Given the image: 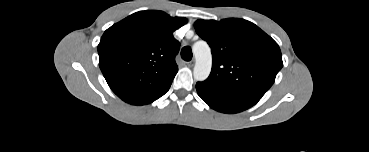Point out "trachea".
<instances>
[{
  "instance_id": "3493384b",
  "label": "trachea",
  "mask_w": 369,
  "mask_h": 152,
  "mask_svg": "<svg viewBox=\"0 0 369 152\" xmlns=\"http://www.w3.org/2000/svg\"><path fill=\"white\" fill-rule=\"evenodd\" d=\"M192 50L189 46L182 48L181 57L185 61H190L192 59Z\"/></svg>"
}]
</instances>
